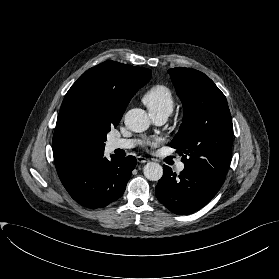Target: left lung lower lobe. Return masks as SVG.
<instances>
[{
    "label": "left lung lower lobe",
    "instance_id": "obj_1",
    "mask_svg": "<svg viewBox=\"0 0 279 279\" xmlns=\"http://www.w3.org/2000/svg\"><path fill=\"white\" fill-rule=\"evenodd\" d=\"M163 176L158 181L157 199L172 213L186 215L206 205L222 184L208 175L184 168L179 176L163 165Z\"/></svg>",
    "mask_w": 279,
    "mask_h": 279
}]
</instances>
